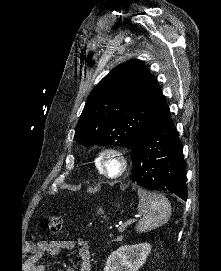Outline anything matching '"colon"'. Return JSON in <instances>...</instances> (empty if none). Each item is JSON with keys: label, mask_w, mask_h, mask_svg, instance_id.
Returning <instances> with one entry per match:
<instances>
[{"label": "colon", "mask_w": 221, "mask_h": 271, "mask_svg": "<svg viewBox=\"0 0 221 271\" xmlns=\"http://www.w3.org/2000/svg\"><path fill=\"white\" fill-rule=\"evenodd\" d=\"M41 227L51 234H57L62 228L61 218L58 214H50L43 217Z\"/></svg>", "instance_id": "obj_1"}]
</instances>
